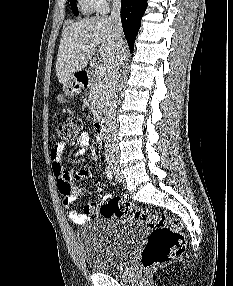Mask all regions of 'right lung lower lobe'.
Instances as JSON below:
<instances>
[{
	"label": "right lung lower lobe",
	"mask_w": 233,
	"mask_h": 286,
	"mask_svg": "<svg viewBox=\"0 0 233 286\" xmlns=\"http://www.w3.org/2000/svg\"><path fill=\"white\" fill-rule=\"evenodd\" d=\"M146 7L147 0H121V22L131 52Z\"/></svg>",
	"instance_id": "1"
}]
</instances>
